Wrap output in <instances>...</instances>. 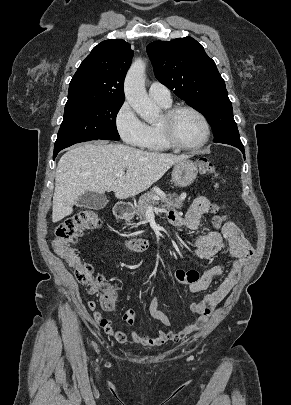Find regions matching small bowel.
<instances>
[{
  "label": "small bowel",
  "mask_w": 291,
  "mask_h": 405,
  "mask_svg": "<svg viewBox=\"0 0 291 405\" xmlns=\"http://www.w3.org/2000/svg\"><path fill=\"white\" fill-rule=\"evenodd\" d=\"M213 210V204L206 197H198L191 204L185 216L177 211L171 210L168 213L170 223L178 229L196 230L203 217H208ZM192 253L199 259H210L221 251L228 250L233 257L231 269L220 286L211 294L204 296L201 300L191 304V311L199 316L191 324L179 331L167 329L170 326L168 316L158 307L157 297H152L149 303V312L152 317L159 321V325L166 329H157L155 335L139 334L135 329L136 311L127 310L122 320L131 328L130 338L121 330L114 329L109 320L102 318L96 311V304L93 301L88 303L94 311V319L103 328L105 333L119 343H136L143 345H161L167 341L179 342L191 333L202 329L214 308L228 295L232 288L238 283L243 265L252 257L253 249L248 238L233 223H225L219 231H211L205 235L192 239ZM224 266H216L204 273L198 280L189 284V290L197 293L209 288L214 280L222 274ZM112 301H116L118 294L115 289L108 290Z\"/></svg>",
  "instance_id": "obj_1"
}]
</instances>
